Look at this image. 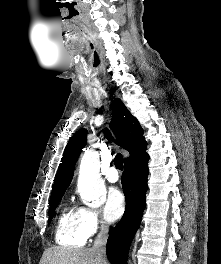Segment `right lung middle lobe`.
I'll use <instances>...</instances> for the list:
<instances>
[{
    "label": "right lung middle lobe",
    "instance_id": "right-lung-middle-lobe-1",
    "mask_svg": "<svg viewBox=\"0 0 221 264\" xmlns=\"http://www.w3.org/2000/svg\"><path fill=\"white\" fill-rule=\"evenodd\" d=\"M63 194H60L54 198L50 199V209H49V223L51 221V219L53 218L54 215V210L56 209L57 205L59 204V201L61 200Z\"/></svg>",
    "mask_w": 221,
    "mask_h": 264
}]
</instances>
